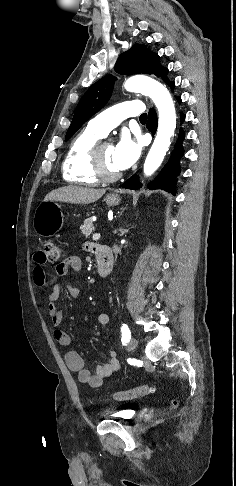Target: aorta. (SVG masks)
Listing matches in <instances>:
<instances>
[{
  "label": "aorta",
  "mask_w": 236,
  "mask_h": 486,
  "mask_svg": "<svg viewBox=\"0 0 236 486\" xmlns=\"http://www.w3.org/2000/svg\"><path fill=\"white\" fill-rule=\"evenodd\" d=\"M124 87L127 91L149 96L159 112L157 134L144 163V174L150 176L161 165L171 144L170 139L176 127L174 103L166 87L149 77H131L125 82Z\"/></svg>",
  "instance_id": "762f6f07"
}]
</instances>
